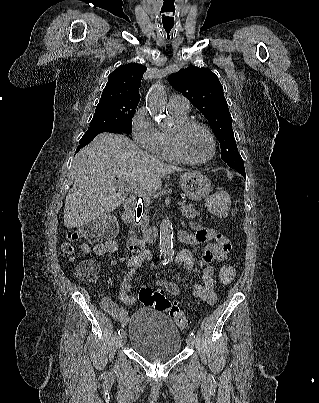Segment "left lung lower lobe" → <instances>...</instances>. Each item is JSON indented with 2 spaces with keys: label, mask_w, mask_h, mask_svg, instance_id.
<instances>
[{
  "label": "left lung lower lobe",
  "mask_w": 319,
  "mask_h": 403,
  "mask_svg": "<svg viewBox=\"0 0 319 403\" xmlns=\"http://www.w3.org/2000/svg\"><path fill=\"white\" fill-rule=\"evenodd\" d=\"M231 170H234V171H237L238 173H240L241 175H243L244 177H246V174H245V170H236V169H233V168H230Z\"/></svg>",
  "instance_id": "obj_1"
}]
</instances>
